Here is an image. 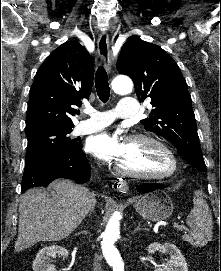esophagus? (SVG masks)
<instances>
[{
	"label": "esophagus",
	"mask_w": 221,
	"mask_h": 271,
	"mask_svg": "<svg viewBox=\"0 0 221 271\" xmlns=\"http://www.w3.org/2000/svg\"><path fill=\"white\" fill-rule=\"evenodd\" d=\"M97 50L99 57L104 64V67L108 73H111V61H110V51H109V35L107 32H102L97 41ZM119 189L121 191H128V183L124 180L119 182Z\"/></svg>",
	"instance_id": "34e87169"
}]
</instances>
